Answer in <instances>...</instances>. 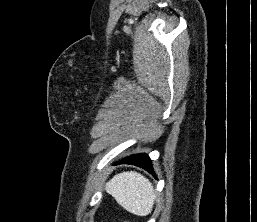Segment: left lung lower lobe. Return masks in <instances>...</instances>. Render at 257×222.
<instances>
[{"label":"left lung lower lobe","instance_id":"1","mask_svg":"<svg viewBox=\"0 0 257 222\" xmlns=\"http://www.w3.org/2000/svg\"><path fill=\"white\" fill-rule=\"evenodd\" d=\"M119 163L135 165L147 170L148 172H153L152 161L147 154L131 155L124 158Z\"/></svg>","mask_w":257,"mask_h":222}]
</instances>
